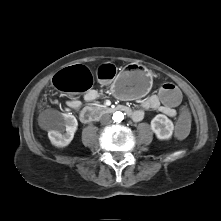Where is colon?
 I'll return each instance as SVG.
<instances>
[{
	"instance_id": "obj_1",
	"label": "colon",
	"mask_w": 221,
	"mask_h": 221,
	"mask_svg": "<svg viewBox=\"0 0 221 221\" xmlns=\"http://www.w3.org/2000/svg\"><path fill=\"white\" fill-rule=\"evenodd\" d=\"M115 74L116 68L112 64H103L97 70L98 79L103 81L112 80ZM53 85L58 90L66 93L85 92L90 90L93 85V75L85 66L76 65L57 73L53 78ZM157 94L162 104L168 109H177L183 103V94L173 83L161 84ZM41 107L42 104L38 103L36 109L40 110ZM191 128L192 121L189 109L186 105H183L173 135L176 139L181 140L189 136Z\"/></svg>"
}]
</instances>
